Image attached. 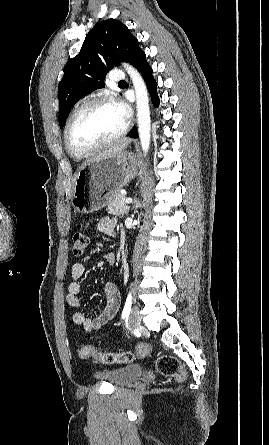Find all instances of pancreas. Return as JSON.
Instances as JSON below:
<instances>
[{"label": "pancreas", "mask_w": 269, "mask_h": 445, "mask_svg": "<svg viewBox=\"0 0 269 445\" xmlns=\"http://www.w3.org/2000/svg\"><path fill=\"white\" fill-rule=\"evenodd\" d=\"M125 199L126 196L121 193L114 195L113 198L108 201V212L121 217L126 215L128 213L129 206L124 202Z\"/></svg>", "instance_id": "pancreas-1"}]
</instances>
